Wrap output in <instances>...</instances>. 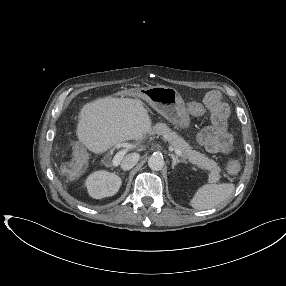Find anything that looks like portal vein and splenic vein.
<instances>
[{
    "label": "portal vein and splenic vein",
    "mask_w": 286,
    "mask_h": 286,
    "mask_svg": "<svg viewBox=\"0 0 286 286\" xmlns=\"http://www.w3.org/2000/svg\"><path fill=\"white\" fill-rule=\"evenodd\" d=\"M136 147H137V144H128L125 149L119 151V152L114 156V158H113V161H112V162H113V165H114V166H117V165L121 162V160H122L123 156L125 155V153H126L128 150H131V149L136 148ZM171 149H172V148H171ZM175 153H176L178 156H183L182 152H181L179 149H176V150H175Z\"/></svg>",
    "instance_id": "obj_1"
}]
</instances>
